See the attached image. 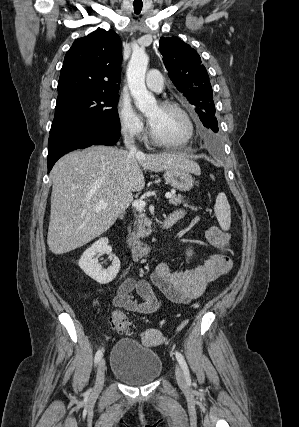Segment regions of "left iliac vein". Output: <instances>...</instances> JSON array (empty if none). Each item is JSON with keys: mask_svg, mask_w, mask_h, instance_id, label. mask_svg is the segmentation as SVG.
<instances>
[{"mask_svg": "<svg viewBox=\"0 0 299 427\" xmlns=\"http://www.w3.org/2000/svg\"><path fill=\"white\" fill-rule=\"evenodd\" d=\"M175 375H176L177 382L179 384L185 383V377H184L183 371L178 365L175 366Z\"/></svg>", "mask_w": 299, "mask_h": 427, "instance_id": "obj_1", "label": "left iliac vein"}]
</instances>
